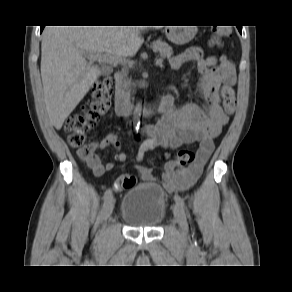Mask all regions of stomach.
<instances>
[{
	"label": "stomach",
	"instance_id": "obj_1",
	"mask_svg": "<svg viewBox=\"0 0 292 292\" xmlns=\"http://www.w3.org/2000/svg\"><path fill=\"white\" fill-rule=\"evenodd\" d=\"M196 32V26L169 27L166 29V36L172 43L183 45L190 42Z\"/></svg>",
	"mask_w": 292,
	"mask_h": 292
}]
</instances>
